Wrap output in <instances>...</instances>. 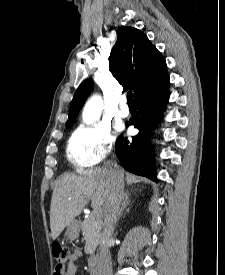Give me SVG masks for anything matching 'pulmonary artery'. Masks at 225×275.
I'll use <instances>...</instances> for the list:
<instances>
[{"label":"pulmonary artery","instance_id":"obj_1","mask_svg":"<svg viewBox=\"0 0 225 275\" xmlns=\"http://www.w3.org/2000/svg\"><path fill=\"white\" fill-rule=\"evenodd\" d=\"M118 115L121 117H127L129 115V108L125 104V100L123 99L121 105L118 109Z\"/></svg>","mask_w":225,"mask_h":275}]
</instances>
